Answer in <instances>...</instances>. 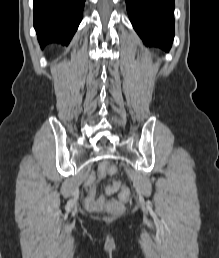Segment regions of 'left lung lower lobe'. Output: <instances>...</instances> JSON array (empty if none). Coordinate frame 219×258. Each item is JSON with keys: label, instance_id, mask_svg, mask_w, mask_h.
Listing matches in <instances>:
<instances>
[{"label": "left lung lower lobe", "instance_id": "left-lung-lower-lobe-1", "mask_svg": "<svg viewBox=\"0 0 219 258\" xmlns=\"http://www.w3.org/2000/svg\"><path fill=\"white\" fill-rule=\"evenodd\" d=\"M130 21L146 46L169 51L174 38V0H125Z\"/></svg>", "mask_w": 219, "mask_h": 258}]
</instances>
